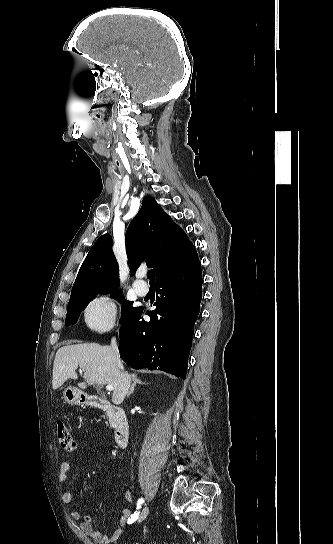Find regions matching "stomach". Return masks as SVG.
Here are the masks:
<instances>
[{
	"label": "stomach",
	"instance_id": "1",
	"mask_svg": "<svg viewBox=\"0 0 333 544\" xmlns=\"http://www.w3.org/2000/svg\"><path fill=\"white\" fill-rule=\"evenodd\" d=\"M63 398L70 405L82 404L85 401L84 393L72 386L65 388Z\"/></svg>",
	"mask_w": 333,
	"mask_h": 544
}]
</instances>
